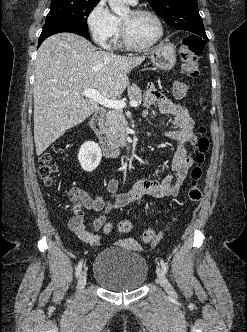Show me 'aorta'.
I'll use <instances>...</instances> for the list:
<instances>
[{
    "instance_id": "aorta-1",
    "label": "aorta",
    "mask_w": 247,
    "mask_h": 332,
    "mask_svg": "<svg viewBox=\"0 0 247 332\" xmlns=\"http://www.w3.org/2000/svg\"><path fill=\"white\" fill-rule=\"evenodd\" d=\"M108 4L111 10L119 16L127 14L130 10L125 0H108Z\"/></svg>"
}]
</instances>
